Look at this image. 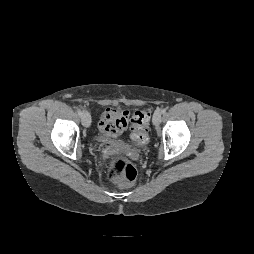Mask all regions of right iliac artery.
Wrapping results in <instances>:
<instances>
[{"mask_svg":"<svg viewBox=\"0 0 254 254\" xmlns=\"http://www.w3.org/2000/svg\"><path fill=\"white\" fill-rule=\"evenodd\" d=\"M77 113H78L79 116H82V114H83L82 111H81L80 109L77 110Z\"/></svg>","mask_w":254,"mask_h":254,"instance_id":"1","label":"right iliac artery"}]
</instances>
